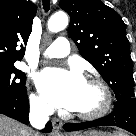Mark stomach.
<instances>
[{"label": "stomach", "mask_w": 136, "mask_h": 136, "mask_svg": "<svg viewBox=\"0 0 136 136\" xmlns=\"http://www.w3.org/2000/svg\"><path fill=\"white\" fill-rule=\"evenodd\" d=\"M78 136H110L104 132L101 131H96V130H90V131H86L83 134H80Z\"/></svg>", "instance_id": "1"}]
</instances>
